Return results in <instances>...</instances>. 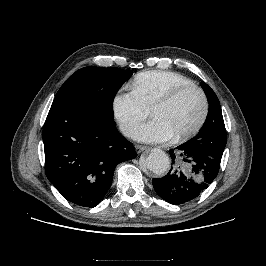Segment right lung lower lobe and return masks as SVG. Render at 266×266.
I'll return each mask as SVG.
<instances>
[{
  "mask_svg": "<svg viewBox=\"0 0 266 266\" xmlns=\"http://www.w3.org/2000/svg\"><path fill=\"white\" fill-rule=\"evenodd\" d=\"M42 138L47 178L65 199L83 207L98 205L115 167L137 156L113 119L89 111L51 108Z\"/></svg>",
  "mask_w": 266,
  "mask_h": 266,
  "instance_id": "1",
  "label": "right lung lower lobe"
}]
</instances>
